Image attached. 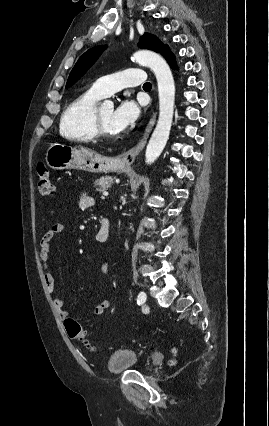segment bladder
<instances>
[{"mask_svg": "<svg viewBox=\"0 0 269 426\" xmlns=\"http://www.w3.org/2000/svg\"><path fill=\"white\" fill-rule=\"evenodd\" d=\"M139 355L131 349H117L107 359L106 368L112 374H119L136 367Z\"/></svg>", "mask_w": 269, "mask_h": 426, "instance_id": "bladder-1", "label": "bladder"}]
</instances>
